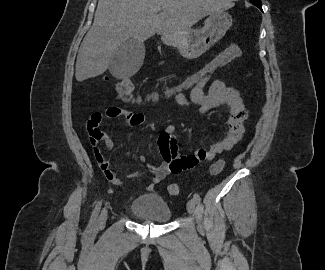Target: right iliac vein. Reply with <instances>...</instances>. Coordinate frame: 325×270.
Here are the masks:
<instances>
[{
	"instance_id": "63e3f726",
	"label": "right iliac vein",
	"mask_w": 325,
	"mask_h": 270,
	"mask_svg": "<svg viewBox=\"0 0 325 270\" xmlns=\"http://www.w3.org/2000/svg\"><path fill=\"white\" fill-rule=\"evenodd\" d=\"M107 215H108V213H107V209L104 208V209L102 210V212H101L99 218H98V221H97L98 225H102V224H104V223L106 222V220H107Z\"/></svg>"
}]
</instances>
